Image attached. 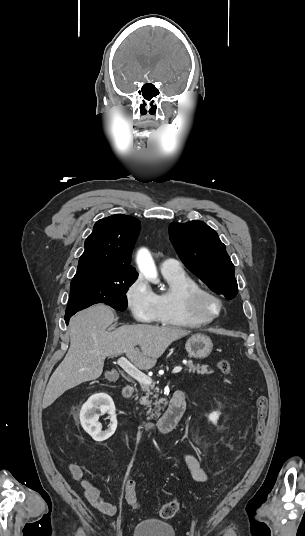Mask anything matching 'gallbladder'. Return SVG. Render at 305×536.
<instances>
[{"instance_id": "gallbladder-1", "label": "gallbladder", "mask_w": 305, "mask_h": 536, "mask_svg": "<svg viewBox=\"0 0 305 536\" xmlns=\"http://www.w3.org/2000/svg\"><path fill=\"white\" fill-rule=\"evenodd\" d=\"M110 374H111V372H106V374H105V378H107V380H109V378H110Z\"/></svg>"}]
</instances>
